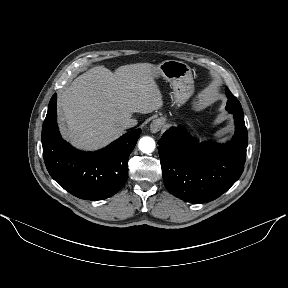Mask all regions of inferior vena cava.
<instances>
[{
  "instance_id": "obj_1",
  "label": "inferior vena cava",
  "mask_w": 288,
  "mask_h": 288,
  "mask_svg": "<svg viewBox=\"0 0 288 288\" xmlns=\"http://www.w3.org/2000/svg\"><path fill=\"white\" fill-rule=\"evenodd\" d=\"M135 125H137V120L136 119H127L124 121L123 123V127L126 128H131L134 127Z\"/></svg>"
}]
</instances>
